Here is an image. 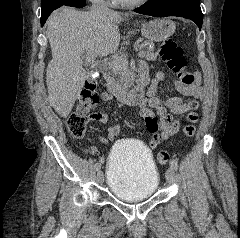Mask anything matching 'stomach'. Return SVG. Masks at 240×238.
Instances as JSON below:
<instances>
[{"label":"stomach","mask_w":240,"mask_h":238,"mask_svg":"<svg viewBox=\"0 0 240 238\" xmlns=\"http://www.w3.org/2000/svg\"><path fill=\"white\" fill-rule=\"evenodd\" d=\"M175 23L170 19L157 18L142 24L141 33L150 41H163L175 31Z\"/></svg>","instance_id":"0dacf381"}]
</instances>
